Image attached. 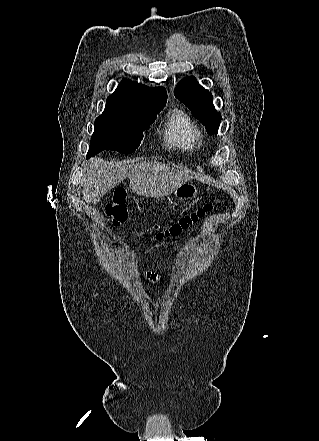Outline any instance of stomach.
<instances>
[{
  "label": "stomach",
  "mask_w": 319,
  "mask_h": 441,
  "mask_svg": "<svg viewBox=\"0 0 319 441\" xmlns=\"http://www.w3.org/2000/svg\"><path fill=\"white\" fill-rule=\"evenodd\" d=\"M198 189L195 185L191 183H183L177 187L174 191L175 198L179 201H186L193 199L197 196Z\"/></svg>",
  "instance_id": "obj_1"
}]
</instances>
